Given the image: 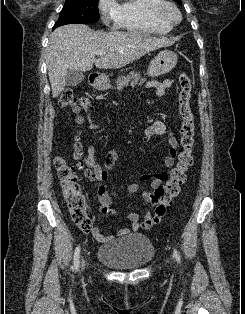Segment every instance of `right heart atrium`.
<instances>
[{
	"instance_id": "obj_1",
	"label": "right heart atrium",
	"mask_w": 245,
	"mask_h": 314,
	"mask_svg": "<svg viewBox=\"0 0 245 314\" xmlns=\"http://www.w3.org/2000/svg\"><path fill=\"white\" fill-rule=\"evenodd\" d=\"M118 4L116 0H99L98 9L102 21L109 25L116 23Z\"/></svg>"
}]
</instances>
